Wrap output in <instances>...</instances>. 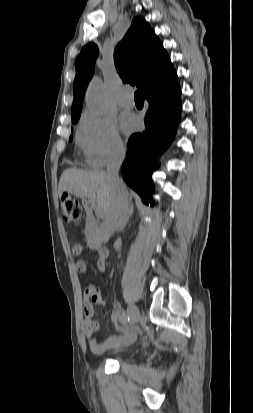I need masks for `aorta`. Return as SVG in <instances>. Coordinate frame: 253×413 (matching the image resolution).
<instances>
[{"instance_id":"762f6f07","label":"aorta","mask_w":253,"mask_h":413,"mask_svg":"<svg viewBox=\"0 0 253 413\" xmlns=\"http://www.w3.org/2000/svg\"><path fill=\"white\" fill-rule=\"evenodd\" d=\"M106 95L107 90L103 81L99 78L93 79L86 93L88 108L96 114H104L106 112Z\"/></svg>"}]
</instances>
